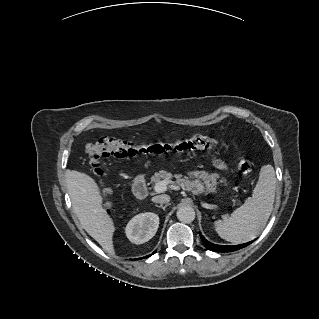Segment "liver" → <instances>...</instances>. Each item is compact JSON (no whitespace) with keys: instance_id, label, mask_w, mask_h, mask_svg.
I'll list each match as a JSON object with an SVG mask.
<instances>
[{"instance_id":"1","label":"liver","mask_w":319,"mask_h":319,"mask_svg":"<svg viewBox=\"0 0 319 319\" xmlns=\"http://www.w3.org/2000/svg\"><path fill=\"white\" fill-rule=\"evenodd\" d=\"M68 193L83 229L109 254H114L115 226L103 208V197L95 180L85 173L69 171Z\"/></svg>"}]
</instances>
